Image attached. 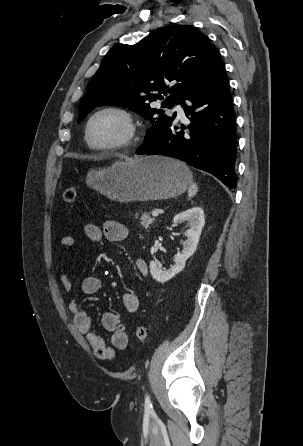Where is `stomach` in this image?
<instances>
[{"label":"stomach","mask_w":303,"mask_h":446,"mask_svg":"<svg viewBox=\"0 0 303 446\" xmlns=\"http://www.w3.org/2000/svg\"><path fill=\"white\" fill-rule=\"evenodd\" d=\"M192 181L189 168L164 156L116 162L87 174V184L118 202L161 200L184 193Z\"/></svg>","instance_id":"1"}]
</instances>
